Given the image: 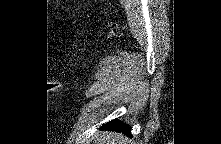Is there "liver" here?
I'll return each instance as SVG.
<instances>
[{"label":"liver","instance_id":"liver-1","mask_svg":"<svg viewBox=\"0 0 221 144\" xmlns=\"http://www.w3.org/2000/svg\"><path fill=\"white\" fill-rule=\"evenodd\" d=\"M95 144H127V138L120 133L106 132L103 135H94Z\"/></svg>","mask_w":221,"mask_h":144}]
</instances>
